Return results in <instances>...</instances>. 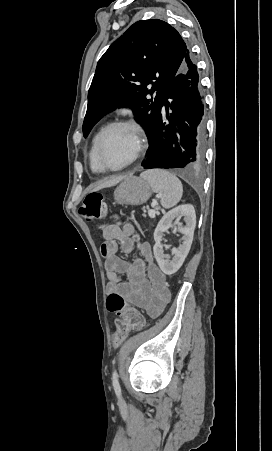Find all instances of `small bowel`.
Returning <instances> with one entry per match:
<instances>
[{
  "label": "small bowel",
  "mask_w": 272,
  "mask_h": 451,
  "mask_svg": "<svg viewBox=\"0 0 272 451\" xmlns=\"http://www.w3.org/2000/svg\"><path fill=\"white\" fill-rule=\"evenodd\" d=\"M134 227L110 224L102 231L103 243L100 248L105 262L107 292L122 295L128 302L145 309L150 316L160 315L170 302L171 294L166 285L165 275L154 262L151 246L147 242L134 240ZM124 254L138 252L132 262L123 260L118 249ZM122 276L127 278L122 281Z\"/></svg>",
  "instance_id": "small-bowel-1"
}]
</instances>
